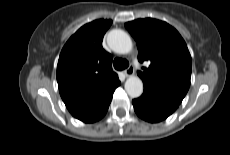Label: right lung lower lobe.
I'll list each match as a JSON object with an SVG mask.
<instances>
[{
    "label": "right lung lower lobe",
    "instance_id": "1",
    "mask_svg": "<svg viewBox=\"0 0 230 155\" xmlns=\"http://www.w3.org/2000/svg\"><path fill=\"white\" fill-rule=\"evenodd\" d=\"M111 100H112V98H111ZM111 100L108 101L100 109H98V110H96V111H94L92 113H89L87 115H84V116H82V117H80L78 119L81 120V121H83V122H85V123H93V122H96V121L100 120L106 114Z\"/></svg>",
    "mask_w": 230,
    "mask_h": 155
}]
</instances>
